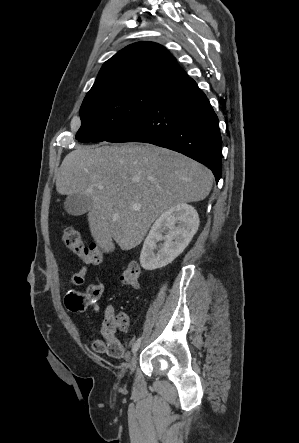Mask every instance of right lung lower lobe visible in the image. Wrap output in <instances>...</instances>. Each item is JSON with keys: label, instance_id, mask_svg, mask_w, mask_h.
<instances>
[{"label": "right lung lower lobe", "instance_id": "obj_1", "mask_svg": "<svg viewBox=\"0 0 299 443\" xmlns=\"http://www.w3.org/2000/svg\"><path fill=\"white\" fill-rule=\"evenodd\" d=\"M108 142H144L168 148L207 165L221 177L218 117L192 78L165 90L137 120Z\"/></svg>", "mask_w": 299, "mask_h": 443}]
</instances>
